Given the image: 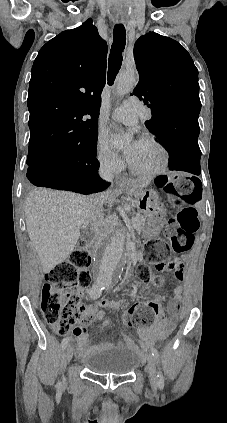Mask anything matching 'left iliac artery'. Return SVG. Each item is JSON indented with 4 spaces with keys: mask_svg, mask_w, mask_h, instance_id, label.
Returning <instances> with one entry per match:
<instances>
[{
    "mask_svg": "<svg viewBox=\"0 0 227 423\" xmlns=\"http://www.w3.org/2000/svg\"><path fill=\"white\" fill-rule=\"evenodd\" d=\"M110 288V284L106 283L104 284V289L108 290ZM151 351H152V355L159 361V352L156 348L151 347ZM157 379H158V387L160 390H162L164 388V377L163 374L161 372V370L159 369L158 375H157Z\"/></svg>",
    "mask_w": 227,
    "mask_h": 423,
    "instance_id": "1",
    "label": "left iliac artery"
}]
</instances>
